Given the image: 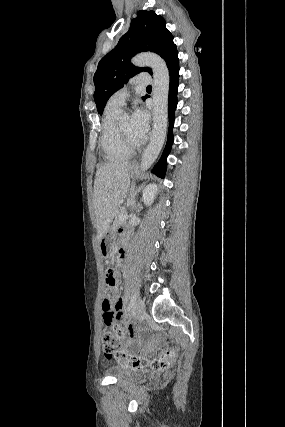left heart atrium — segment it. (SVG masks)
<instances>
[{"mask_svg": "<svg viewBox=\"0 0 285 427\" xmlns=\"http://www.w3.org/2000/svg\"><path fill=\"white\" fill-rule=\"evenodd\" d=\"M132 121L135 135L139 141H142L146 137L149 129L148 112L142 107L137 108L132 115Z\"/></svg>", "mask_w": 285, "mask_h": 427, "instance_id": "39dd6f15", "label": "left heart atrium"}]
</instances>
